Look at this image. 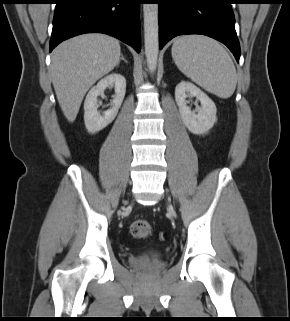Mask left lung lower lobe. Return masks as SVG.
<instances>
[{"label": "left lung lower lobe", "mask_w": 290, "mask_h": 321, "mask_svg": "<svg viewBox=\"0 0 290 321\" xmlns=\"http://www.w3.org/2000/svg\"><path fill=\"white\" fill-rule=\"evenodd\" d=\"M160 49L178 35L202 34L224 43L239 62L233 0H156Z\"/></svg>", "instance_id": "0a47b994"}]
</instances>
